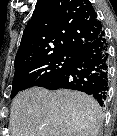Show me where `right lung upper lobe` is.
Instances as JSON below:
<instances>
[{
  "instance_id": "right-lung-upper-lobe-1",
  "label": "right lung upper lobe",
  "mask_w": 117,
  "mask_h": 136,
  "mask_svg": "<svg viewBox=\"0 0 117 136\" xmlns=\"http://www.w3.org/2000/svg\"><path fill=\"white\" fill-rule=\"evenodd\" d=\"M101 30L102 24L88 0H38L23 32L15 69L56 53H78Z\"/></svg>"
}]
</instances>
